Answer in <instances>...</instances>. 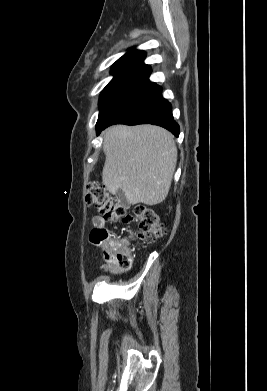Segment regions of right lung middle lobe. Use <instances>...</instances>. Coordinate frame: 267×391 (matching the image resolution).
<instances>
[{
	"label": "right lung middle lobe",
	"instance_id": "right-lung-middle-lobe-1",
	"mask_svg": "<svg viewBox=\"0 0 267 391\" xmlns=\"http://www.w3.org/2000/svg\"><path fill=\"white\" fill-rule=\"evenodd\" d=\"M150 83L148 77L115 76L103 89L99 100V117L96 129L133 95Z\"/></svg>",
	"mask_w": 267,
	"mask_h": 391
}]
</instances>
